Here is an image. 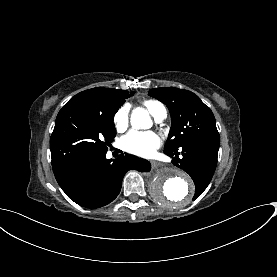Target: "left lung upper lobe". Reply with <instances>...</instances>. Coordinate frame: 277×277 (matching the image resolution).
Here are the masks:
<instances>
[{
	"label": "left lung upper lobe",
	"instance_id": "left-lung-upper-lobe-1",
	"mask_svg": "<svg viewBox=\"0 0 277 277\" xmlns=\"http://www.w3.org/2000/svg\"><path fill=\"white\" fill-rule=\"evenodd\" d=\"M149 95L163 102L172 119L165 151L203 137H219L214 115L210 108L191 91L178 88H155Z\"/></svg>",
	"mask_w": 277,
	"mask_h": 277
}]
</instances>
